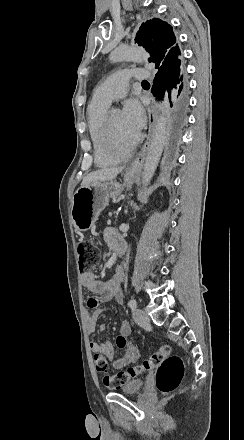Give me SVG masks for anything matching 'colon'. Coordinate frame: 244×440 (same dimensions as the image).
Returning <instances> with one entry per match:
<instances>
[{
  "label": "colon",
  "instance_id": "colon-1",
  "mask_svg": "<svg viewBox=\"0 0 244 440\" xmlns=\"http://www.w3.org/2000/svg\"><path fill=\"white\" fill-rule=\"evenodd\" d=\"M79 268L87 273L95 267L100 259V251L91 242L78 240L76 243ZM116 347L125 350L127 339L123 335L116 338ZM93 363L97 372H106L108 370V360L103 353H94ZM156 368L155 385L163 394L171 393L182 381L185 368L178 355L171 353L170 347L162 344L159 349L142 362L129 368L119 370L117 373H105L103 379L110 386L117 387L125 384L141 374Z\"/></svg>",
  "mask_w": 244,
  "mask_h": 440
}]
</instances>
